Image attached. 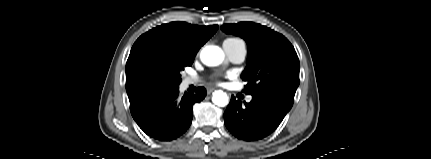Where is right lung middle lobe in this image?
Listing matches in <instances>:
<instances>
[{
	"label": "right lung middle lobe",
	"mask_w": 431,
	"mask_h": 159,
	"mask_svg": "<svg viewBox=\"0 0 431 159\" xmlns=\"http://www.w3.org/2000/svg\"><path fill=\"white\" fill-rule=\"evenodd\" d=\"M194 58L149 50L142 56V66L149 78L161 88H173L181 82V71L191 66Z\"/></svg>",
	"instance_id": "obj_1"
}]
</instances>
